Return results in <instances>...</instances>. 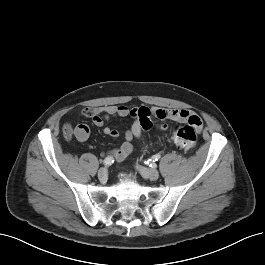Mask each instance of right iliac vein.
<instances>
[{
	"label": "right iliac vein",
	"mask_w": 265,
	"mask_h": 265,
	"mask_svg": "<svg viewBox=\"0 0 265 265\" xmlns=\"http://www.w3.org/2000/svg\"><path fill=\"white\" fill-rule=\"evenodd\" d=\"M107 176H108V173H107V170L106 169H100L99 170V172H98V178L101 181H106L107 180Z\"/></svg>",
	"instance_id": "63e3f726"
}]
</instances>
